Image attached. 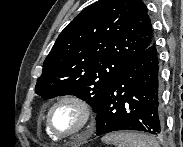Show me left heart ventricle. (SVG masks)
Here are the masks:
<instances>
[{
    "mask_svg": "<svg viewBox=\"0 0 183 147\" xmlns=\"http://www.w3.org/2000/svg\"><path fill=\"white\" fill-rule=\"evenodd\" d=\"M83 121L81 110L73 103H62L51 113L53 129L60 134H66L78 129Z\"/></svg>",
    "mask_w": 183,
    "mask_h": 147,
    "instance_id": "b2bd125f",
    "label": "left heart ventricle"
}]
</instances>
